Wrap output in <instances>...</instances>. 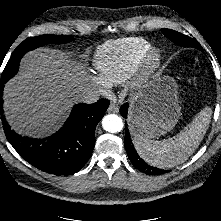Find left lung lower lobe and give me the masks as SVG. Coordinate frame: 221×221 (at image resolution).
<instances>
[{"label": "left lung lower lobe", "instance_id": "0a47b994", "mask_svg": "<svg viewBox=\"0 0 221 221\" xmlns=\"http://www.w3.org/2000/svg\"><path fill=\"white\" fill-rule=\"evenodd\" d=\"M127 112H128V103H125L121 106L120 108V113L124 118H127ZM125 149L128 154V157L130 158L132 164L141 172L149 175H158V174H163L165 170L158 169L153 166H149L143 159L139 157L137 154L131 138H130V133L128 131V128H126V135H125V141H124Z\"/></svg>", "mask_w": 221, "mask_h": 221}]
</instances>
